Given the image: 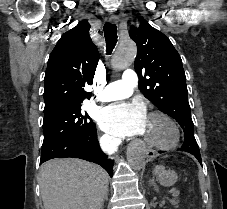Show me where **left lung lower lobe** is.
Instances as JSON below:
<instances>
[{
	"instance_id": "0a47b994",
	"label": "left lung lower lobe",
	"mask_w": 227,
	"mask_h": 209,
	"mask_svg": "<svg viewBox=\"0 0 227 209\" xmlns=\"http://www.w3.org/2000/svg\"><path fill=\"white\" fill-rule=\"evenodd\" d=\"M180 150H181V149H180ZM191 154L194 155V156L198 159V161H199L200 163H202L200 154H197V153H191Z\"/></svg>"
}]
</instances>
